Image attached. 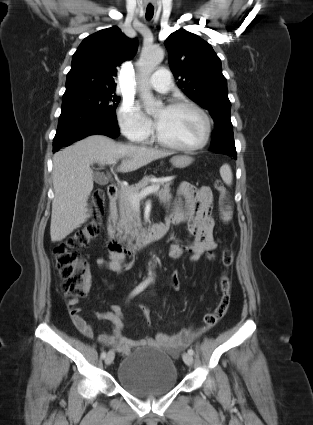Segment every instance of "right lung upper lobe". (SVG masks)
<instances>
[{
	"label": "right lung upper lobe",
	"instance_id": "right-lung-upper-lobe-1",
	"mask_svg": "<svg viewBox=\"0 0 313 425\" xmlns=\"http://www.w3.org/2000/svg\"><path fill=\"white\" fill-rule=\"evenodd\" d=\"M138 47L118 27L86 37L72 58L65 93L77 90L115 89L117 66L134 57Z\"/></svg>",
	"mask_w": 313,
	"mask_h": 425
}]
</instances>
